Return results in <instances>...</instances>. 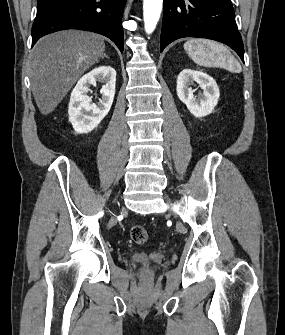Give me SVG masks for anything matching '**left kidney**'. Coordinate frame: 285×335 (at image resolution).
Listing matches in <instances>:
<instances>
[{
  "label": "left kidney",
  "instance_id": "1",
  "mask_svg": "<svg viewBox=\"0 0 285 335\" xmlns=\"http://www.w3.org/2000/svg\"><path fill=\"white\" fill-rule=\"evenodd\" d=\"M193 82L200 84V88L204 90L201 96H193V90L190 88ZM176 90L179 100L186 104L189 112L196 118H203V116L212 114L220 96L215 80L208 74L195 72V70H182L180 72Z\"/></svg>",
  "mask_w": 285,
  "mask_h": 335
}]
</instances>
